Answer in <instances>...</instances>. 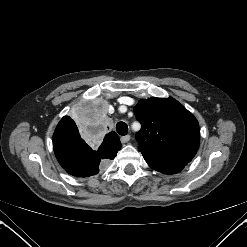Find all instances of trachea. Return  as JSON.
Instances as JSON below:
<instances>
[{
	"label": "trachea",
	"instance_id": "trachea-1",
	"mask_svg": "<svg viewBox=\"0 0 247 247\" xmlns=\"http://www.w3.org/2000/svg\"><path fill=\"white\" fill-rule=\"evenodd\" d=\"M116 131L118 134L124 136L128 133V126L125 122H118L116 124Z\"/></svg>",
	"mask_w": 247,
	"mask_h": 247
}]
</instances>
